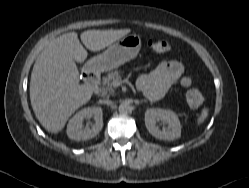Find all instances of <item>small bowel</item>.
I'll use <instances>...</instances> for the list:
<instances>
[{
	"label": "small bowel",
	"instance_id": "1",
	"mask_svg": "<svg viewBox=\"0 0 249 188\" xmlns=\"http://www.w3.org/2000/svg\"><path fill=\"white\" fill-rule=\"evenodd\" d=\"M183 72L181 62L162 61L152 72L139 77L137 87L148 99L157 100L174 85H191V79L184 76Z\"/></svg>",
	"mask_w": 249,
	"mask_h": 188
}]
</instances>
